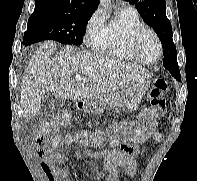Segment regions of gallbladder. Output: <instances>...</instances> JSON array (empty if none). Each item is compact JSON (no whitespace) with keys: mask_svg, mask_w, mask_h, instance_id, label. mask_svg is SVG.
Segmentation results:
<instances>
[{"mask_svg":"<svg viewBox=\"0 0 197 181\" xmlns=\"http://www.w3.org/2000/svg\"><path fill=\"white\" fill-rule=\"evenodd\" d=\"M57 99V97H55ZM55 99L53 95L47 94L42 98V106H41V113L49 112L53 109Z\"/></svg>","mask_w":197,"mask_h":181,"instance_id":"1","label":"gallbladder"}]
</instances>
